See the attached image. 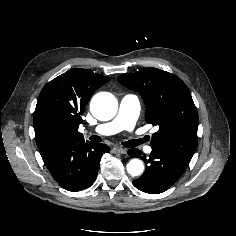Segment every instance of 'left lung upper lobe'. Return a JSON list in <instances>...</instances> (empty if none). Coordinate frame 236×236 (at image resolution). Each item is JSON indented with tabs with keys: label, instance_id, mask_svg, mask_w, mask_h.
<instances>
[{
	"label": "left lung upper lobe",
	"instance_id": "left-lung-upper-lobe-1",
	"mask_svg": "<svg viewBox=\"0 0 236 236\" xmlns=\"http://www.w3.org/2000/svg\"><path fill=\"white\" fill-rule=\"evenodd\" d=\"M118 81L140 93L146 105V122L159 127L151 137V146L192 159L197 148L199 119L186 84L176 75L157 68L121 75Z\"/></svg>",
	"mask_w": 236,
	"mask_h": 236
}]
</instances>
